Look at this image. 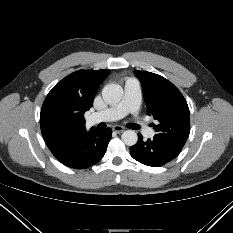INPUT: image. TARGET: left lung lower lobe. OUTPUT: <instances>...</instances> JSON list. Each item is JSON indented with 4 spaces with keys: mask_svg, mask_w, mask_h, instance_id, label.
I'll list each match as a JSON object with an SVG mask.
<instances>
[{
    "mask_svg": "<svg viewBox=\"0 0 233 233\" xmlns=\"http://www.w3.org/2000/svg\"><path fill=\"white\" fill-rule=\"evenodd\" d=\"M181 149L157 139L143 141L142 135L138 134V142L130 147V154L144 165L160 167L173 160Z\"/></svg>",
    "mask_w": 233,
    "mask_h": 233,
    "instance_id": "1",
    "label": "left lung lower lobe"
}]
</instances>
